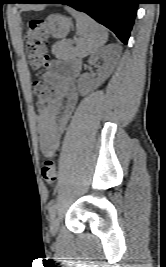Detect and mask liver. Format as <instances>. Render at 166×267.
<instances>
[{
	"instance_id": "liver-1",
	"label": "liver",
	"mask_w": 166,
	"mask_h": 267,
	"mask_svg": "<svg viewBox=\"0 0 166 267\" xmlns=\"http://www.w3.org/2000/svg\"><path fill=\"white\" fill-rule=\"evenodd\" d=\"M27 8L32 9V8H34V7H27Z\"/></svg>"
}]
</instances>
